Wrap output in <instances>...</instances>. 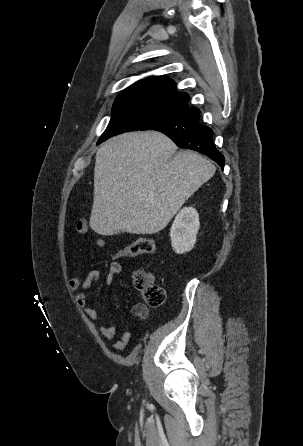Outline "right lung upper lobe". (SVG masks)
Here are the masks:
<instances>
[{"label": "right lung upper lobe", "instance_id": "1", "mask_svg": "<svg viewBox=\"0 0 303 446\" xmlns=\"http://www.w3.org/2000/svg\"><path fill=\"white\" fill-rule=\"evenodd\" d=\"M175 90L173 80L160 76L150 77L124 90L116 98L114 105L163 110L173 99H189L186 93H177Z\"/></svg>", "mask_w": 303, "mask_h": 446}]
</instances>
